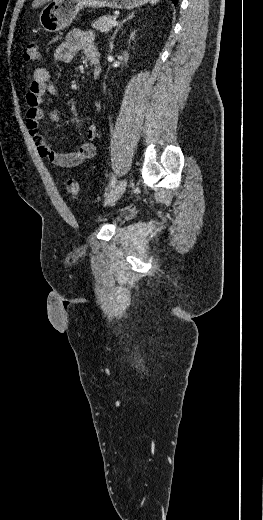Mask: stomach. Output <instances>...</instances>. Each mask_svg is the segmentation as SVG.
<instances>
[{
	"mask_svg": "<svg viewBox=\"0 0 263 520\" xmlns=\"http://www.w3.org/2000/svg\"><path fill=\"white\" fill-rule=\"evenodd\" d=\"M148 0H52L41 11L39 23L47 32H58L68 27L85 7L133 9Z\"/></svg>",
	"mask_w": 263,
	"mask_h": 520,
	"instance_id": "1",
	"label": "stomach"
}]
</instances>
